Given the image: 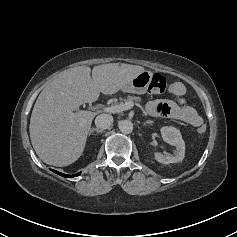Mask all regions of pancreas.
Segmentation results:
<instances>
[{
	"label": "pancreas",
	"mask_w": 237,
	"mask_h": 237,
	"mask_svg": "<svg viewBox=\"0 0 237 237\" xmlns=\"http://www.w3.org/2000/svg\"><path fill=\"white\" fill-rule=\"evenodd\" d=\"M125 102L132 101V102H140L141 98L136 96H128L127 99H124ZM122 103V102H121Z\"/></svg>",
	"instance_id": "cf45deb5"
}]
</instances>
